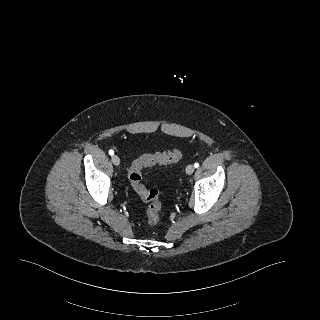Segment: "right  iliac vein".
Masks as SVG:
<instances>
[{
	"label": "right iliac vein",
	"instance_id": "1",
	"mask_svg": "<svg viewBox=\"0 0 320 320\" xmlns=\"http://www.w3.org/2000/svg\"><path fill=\"white\" fill-rule=\"evenodd\" d=\"M111 161L115 166H118L120 164V158L117 155H113L111 157Z\"/></svg>",
	"mask_w": 320,
	"mask_h": 320
}]
</instances>
